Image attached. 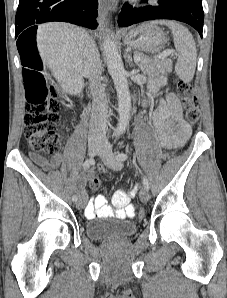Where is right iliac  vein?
<instances>
[{"mask_svg":"<svg viewBox=\"0 0 227 298\" xmlns=\"http://www.w3.org/2000/svg\"><path fill=\"white\" fill-rule=\"evenodd\" d=\"M100 149H101V146L98 142H90L88 144V153L91 157L95 156ZM75 204L78 209H81L85 205V200L80 198L79 200L75 201Z\"/></svg>","mask_w":227,"mask_h":298,"instance_id":"obj_1","label":"right iliac vein"}]
</instances>
